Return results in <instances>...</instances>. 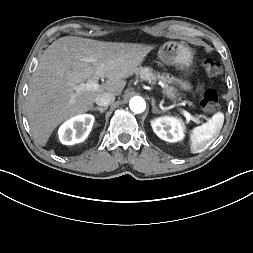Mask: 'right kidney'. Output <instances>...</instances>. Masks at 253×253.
Listing matches in <instances>:
<instances>
[{"label":"right kidney","instance_id":"obj_1","mask_svg":"<svg viewBox=\"0 0 253 253\" xmlns=\"http://www.w3.org/2000/svg\"><path fill=\"white\" fill-rule=\"evenodd\" d=\"M94 120L93 115L83 114L66 121L58 132L61 143L73 145L84 141L92 129Z\"/></svg>","mask_w":253,"mask_h":253}]
</instances>
